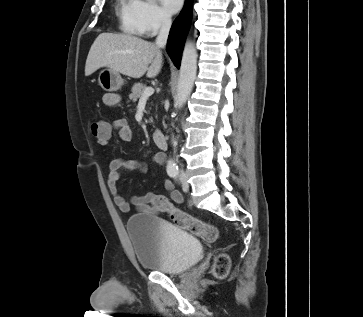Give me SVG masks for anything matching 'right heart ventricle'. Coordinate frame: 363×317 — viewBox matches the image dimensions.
Returning a JSON list of instances; mask_svg holds the SVG:
<instances>
[{
	"instance_id": "e07e8e85",
	"label": "right heart ventricle",
	"mask_w": 363,
	"mask_h": 317,
	"mask_svg": "<svg viewBox=\"0 0 363 317\" xmlns=\"http://www.w3.org/2000/svg\"><path fill=\"white\" fill-rule=\"evenodd\" d=\"M116 14L122 31L138 34L134 0H116Z\"/></svg>"
}]
</instances>
